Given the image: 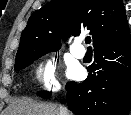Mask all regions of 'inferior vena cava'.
I'll list each match as a JSON object with an SVG mask.
<instances>
[{
	"label": "inferior vena cava",
	"mask_w": 131,
	"mask_h": 115,
	"mask_svg": "<svg viewBox=\"0 0 131 115\" xmlns=\"http://www.w3.org/2000/svg\"><path fill=\"white\" fill-rule=\"evenodd\" d=\"M60 115H68L67 110L63 106H60Z\"/></svg>",
	"instance_id": "602c4592"
}]
</instances>
